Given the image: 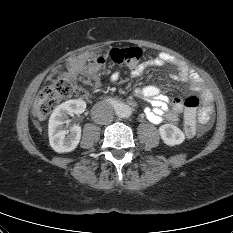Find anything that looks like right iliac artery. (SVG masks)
Segmentation results:
<instances>
[{
	"instance_id": "obj_1",
	"label": "right iliac artery",
	"mask_w": 233,
	"mask_h": 233,
	"mask_svg": "<svg viewBox=\"0 0 233 233\" xmlns=\"http://www.w3.org/2000/svg\"><path fill=\"white\" fill-rule=\"evenodd\" d=\"M106 101L109 102V103H111L112 105H116V104L114 103V101H113L112 99H110V98L106 99Z\"/></svg>"
}]
</instances>
